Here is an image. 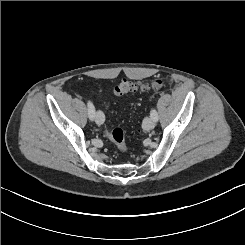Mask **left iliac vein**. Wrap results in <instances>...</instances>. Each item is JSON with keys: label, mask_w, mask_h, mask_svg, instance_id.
I'll return each instance as SVG.
<instances>
[{"label": "left iliac vein", "mask_w": 245, "mask_h": 245, "mask_svg": "<svg viewBox=\"0 0 245 245\" xmlns=\"http://www.w3.org/2000/svg\"><path fill=\"white\" fill-rule=\"evenodd\" d=\"M143 127L145 130L149 131L155 127V121L151 117L144 119Z\"/></svg>", "instance_id": "left-iliac-vein-1"}]
</instances>
